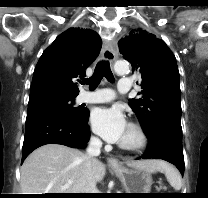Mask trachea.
<instances>
[{"mask_svg": "<svg viewBox=\"0 0 208 198\" xmlns=\"http://www.w3.org/2000/svg\"><path fill=\"white\" fill-rule=\"evenodd\" d=\"M103 77H105L110 82L114 81V77L108 61L99 62L94 70L93 75L88 79H84L81 84H88L90 89L94 90L100 84Z\"/></svg>", "mask_w": 208, "mask_h": 198, "instance_id": "3493384b", "label": "trachea"}]
</instances>
